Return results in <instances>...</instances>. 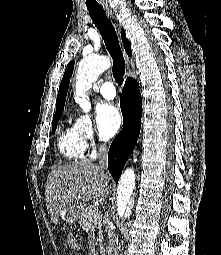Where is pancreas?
Segmentation results:
<instances>
[{
    "instance_id": "obj_1",
    "label": "pancreas",
    "mask_w": 221,
    "mask_h": 255,
    "mask_svg": "<svg viewBox=\"0 0 221 255\" xmlns=\"http://www.w3.org/2000/svg\"><path fill=\"white\" fill-rule=\"evenodd\" d=\"M80 226L83 230H86L92 234H94L96 229H98L99 233H101L102 228L100 211L93 205L86 207L80 219Z\"/></svg>"
}]
</instances>
